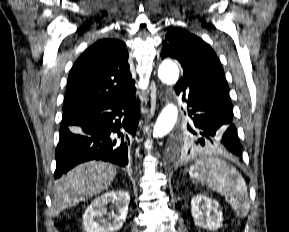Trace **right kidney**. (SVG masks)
<instances>
[{
  "instance_id": "1",
  "label": "right kidney",
  "mask_w": 289,
  "mask_h": 232,
  "mask_svg": "<svg viewBox=\"0 0 289 232\" xmlns=\"http://www.w3.org/2000/svg\"><path fill=\"white\" fill-rule=\"evenodd\" d=\"M130 196L123 190H111L94 199L83 215L86 232H116L121 229L128 213ZM115 208L107 213L106 206ZM105 215L108 218H105Z\"/></svg>"
}]
</instances>
